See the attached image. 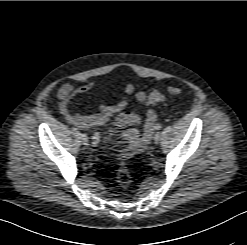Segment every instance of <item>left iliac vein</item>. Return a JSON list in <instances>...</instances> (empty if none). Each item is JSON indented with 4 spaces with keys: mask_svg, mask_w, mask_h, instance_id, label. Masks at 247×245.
Returning a JSON list of instances; mask_svg holds the SVG:
<instances>
[{
    "mask_svg": "<svg viewBox=\"0 0 247 245\" xmlns=\"http://www.w3.org/2000/svg\"><path fill=\"white\" fill-rule=\"evenodd\" d=\"M160 140H161L160 133L157 132V133L155 134V136H154V142H155L156 144H158V143L160 142Z\"/></svg>",
    "mask_w": 247,
    "mask_h": 245,
    "instance_id": "4c4485c4",
    "label": "left iliac vein"
}]
</instances>
